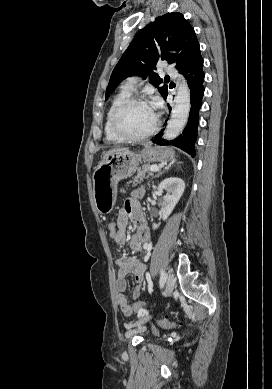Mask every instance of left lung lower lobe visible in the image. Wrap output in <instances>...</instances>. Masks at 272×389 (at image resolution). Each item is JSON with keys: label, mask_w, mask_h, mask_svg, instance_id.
Masks as SVG:
<instances>
[{"label": "left lung lower lobe", "mask_w": 272, "mask_h": 389, "mask_svg": "<svg viewBox=\"0 0 272 389\" xmlns=\"http://www.w3.org/2000/svg\"><path fill=\"white\" fill-rule=\"evenodd\" d=\"M179 72L186 75L185 78L190 88L191 110L188 123L183 133L176 139L167 142L161 139L162 133H159L152 139V142L158 145H173L195 156L194 143L197 138L199 109L202 105L204 94L203 59L199 46L194 50L185 67Z\"/></svg>", "instance_id": "0a47b994"}]
</instances>
